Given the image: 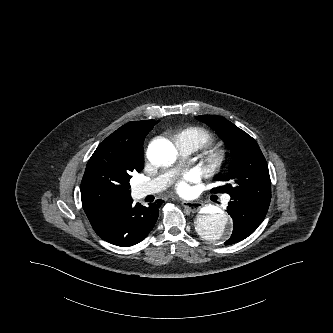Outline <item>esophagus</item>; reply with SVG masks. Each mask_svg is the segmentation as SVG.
<instances>
[{"instance_id":"34e87169","label":"esophagus","mask_w":333,"mask_h":333,"mask_svg":"<svg viewBox=\"0 0 333 333\" xmlns=\"http://www.w3.org/2000/svg\"><path fill=\"white\" fill-rule=\"evenodd\" d=\"M182 205L192 213L198 212L202 207V204L198 201H182Z\"/></svg>"}]
</instances>
